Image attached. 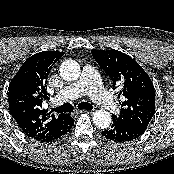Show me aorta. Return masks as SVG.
I'll return each mask as SVG.
<instances>
[{
    "mask_svg": "<svg viewBox=\"0 0 174 174\" xmlns=\"http://www.w3.org/2000/svg\"><path fill=\"white\" fill-rule=\"evenodd\" d=\"M80 65L74 60H65L60 66V76L67 81H75L80 77ZM93 122L100 129H107L112 118L108 111L97 110L93 115Z\"/></svg>",
    "mask_w": 174,
    "mask_h": 174,
    "instance_id": "aorta-1",
    "label": "aorta"
}]
</instances>
